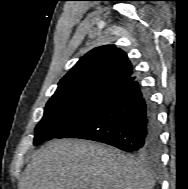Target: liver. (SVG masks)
I'll return each instance as SVG.
<instances>
[{"label": "liver", "mask_w": 188, "mask_h": 189, "mask_svg": "<svg viewBox=\"0 0 188 189\" xmlns=\"http://www.w3.org/2000/svg\"><path fill=\"white\" fill-rule=\"evenodd\" d=\"M154 184L150 172L118 149L62 139L35 153L20 189H152Z\"/></svg>", "instance_id": "6515ba94"}]
</instances>
